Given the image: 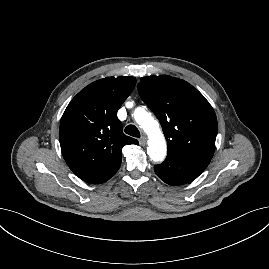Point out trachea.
Segmentation results:
<instances>
[{"label":"trachea","mask_w":269,"mask_h":269,"mask_svg":"<svg viewBox=\"0 0 269 269\" xmlns=\"http://www.w3.org/2000/svg\"><path fill=\"white\" fill-rule=\"evenodd\" d=\"M125 133L130 135V136L140 138V131L138 130V128L135 125H132V124L128 125L125 128Z\"/></svg>","instance_id":"trachea-1"}]
</instances>
